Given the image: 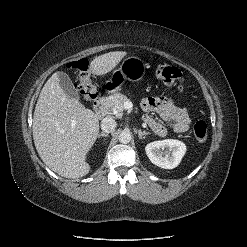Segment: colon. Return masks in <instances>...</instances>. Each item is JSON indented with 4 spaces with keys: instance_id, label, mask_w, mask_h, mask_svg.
<instances>
[{
    "instance_id": "obj_1",
    "label": "colon",
    "mask_w": 247,
    "mask_h": 247,
    "mask_svg": "<svg viewBox=\"0 0 247 247\" xmlns=\"http://www.w3.org/2000/svg\"><path fill=\"white\" fill-rule=\"evenodd\" d=\"M68 67L75 70L80 75V83L78 91L81 97L85 100H92L96 97L97 92L89 79V61L86 58H81L69 63ZM156 77L167 86H175L182 82L183 76L181 71L171 65L158 63L156 65ZM193 135L195 139L202 143L206 141L208 136V126L203 120H198L193 127Z\"/></svg>"
}]
</instances>
